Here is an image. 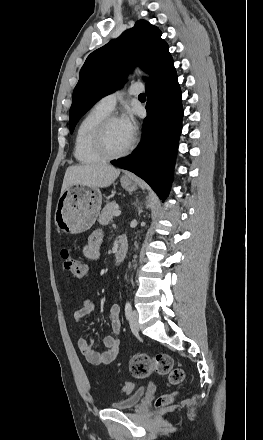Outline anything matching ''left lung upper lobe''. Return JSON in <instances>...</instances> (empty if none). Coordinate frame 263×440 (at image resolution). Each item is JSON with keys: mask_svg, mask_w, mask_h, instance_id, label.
I'll return each instance as SVG.
<instances>
[{"mask_svg": "<svg viewBox=\"0 0 263 440\" xmlns=\"http://www.w3.org/2000/svg\"><path fill=\"white\" fill-rule=\"evenodd\" d=\"M161 35L156 26L139 20L133 28L87 57L73 92L69 120L71 133L80 117L94 103L121 87L125 74L134 66H140L154 76L156 70L173 61L168 44Z\"/></svg>", "mask_w": 263, "mask_h": 440, "instance_id": "obj_1", "label": "left lung upper lobe"}]
</instances>
